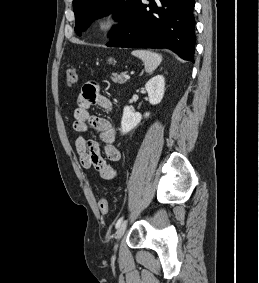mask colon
Masks as SVG:
<instances>
[{"label":"colon","mask_w":259,"mask_h":283,"mask_svg":"<svg viewBox=\"0 0 259 283\" xmlns=\"http://www.w3.org/2000/svg\"><path fill=\"white\" fill-rule=\"evenodd\" d=\"M77 82V71L76 68L71 66L66 71V83L68 86H73ZM98 207L102 213H106L108 211V201L106 198L101 197L98 200Z\"/></svg>","instance_id":"1"}]
</instances>
